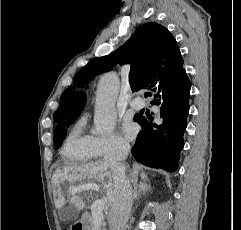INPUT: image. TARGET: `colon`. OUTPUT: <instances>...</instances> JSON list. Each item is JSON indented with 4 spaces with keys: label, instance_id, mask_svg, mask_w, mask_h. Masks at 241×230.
<instances>
[{
    "label": "colon",
    "instance_id": "5ec220e1",
    "mask_svg": "<svg viewBox=\"0 0 241 230\" xmlns=\"http://www.w3.org/2000/svg\"><path fill=\"white\" fill-rule=\"evenodd\" d=\"M64 230H70V229H68V228H65Z\"/></svg>",
    "mask_w": 241,
    "mask_h": 230
}]
</instances>
